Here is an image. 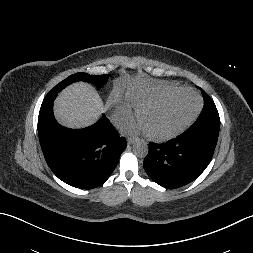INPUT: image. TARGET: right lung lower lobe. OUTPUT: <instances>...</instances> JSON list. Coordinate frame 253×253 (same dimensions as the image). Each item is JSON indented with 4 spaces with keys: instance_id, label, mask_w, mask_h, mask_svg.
<instances>
[{
    "instance_id": "1",
    "label": "right lung lower lobe",
    "mask_w": 253,
    "mask_h": 253,
    "mask_svg": "<svg viewBox=\"0 0 253 253\" xmlns=\"http://www.w3.org/2000/svg\"><path fill=\"white\" fill-rule=\"evenodd\" d=\"M47 94L40 108L38 134L45 160L63 182L82 189L102 185L114 171L127 147L114 126L103 116L100 123L84 129H68L57 123L53 102Z\"/></svg>"
}]
</instances>
